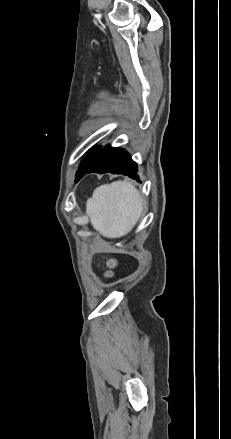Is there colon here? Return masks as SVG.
I'll return each mask as SVG.
<instances>
[{"instance_id":"colon-1","label":"colon","mask_w":231,"mask_h":439,"mask_svg":"<svg viewBox=\"0 0 231 439\" xmlns=\"http://www.w3.org/2000/svg\"><path fill=\"white\" fill-rule=\"evenodd\" d=\"M108 264L110 267H113L115 265V262L113 260H110ZM104 275L108 280L111 278L107 272Z\"/></svg>"}]
</instances>
